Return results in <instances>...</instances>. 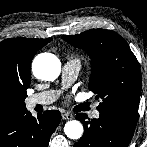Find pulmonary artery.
<instances>
[{"mask_svg": "<svg viewBox=\"0 0 147 147\" xmlns=\"http://www.w3.org/2000/svg\"><path fill=\"white\" fill-rule=\"evenodd\" d=\"M81 64L77 59H69L63 66L62 69V88H68L77 78ZM61 91L59 90H48L39 93H35L27 98L26 104L28 108H33L36 105H48L53 103ZM100 115L99 111L95 109L92 112L93 118H98Z\"/></svg>", "mask_w": 147, "mask_h": 147, "instance_id": "obj_1", "label": "pulmonary artery"}]
</instances>
